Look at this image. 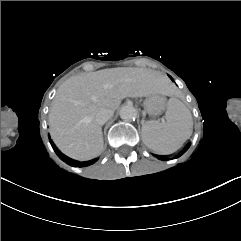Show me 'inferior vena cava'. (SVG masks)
Segmentation results:
<instances>
[{
	"label": "inferior vena cava",
	"instance_id": "inferior-vena-cava-1",
	"mask_svg": "<svg viewBox=\"0 0 241 241\" xmlns=\"http://www.w3.org/2000/svg\"><path fill=\"white\" fill-rule=\"evenodd\" d=\"M112 116H113L112 111L107 109H102L97 113L95 119L99 125H104Z\"/></svg>",
	"mask_w": 241,
	"mask_h": 241
}]
</instances>
